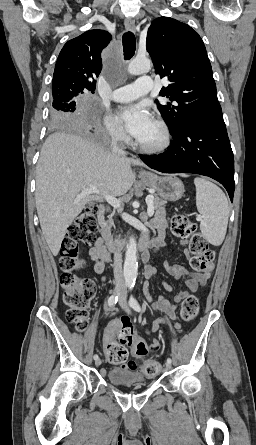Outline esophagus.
Returning <instances> with one entry per match:
<instances>
[{"instance_id": "esophagus-1", "label": "esophagus", "mask_w": 256, "mask_h": 445, "mask_svg": "<svg viewBox=\"0 0 256 445\" xmlns=\"http://www.w3.org/2000/svg\"><path fill=\"white\" fill-rule=\"evenodd\" d=\"M124 24L127 30L132 32L136 31V25L133 19L130 18L125 19Z\"/></svg>"}]
</instances>
